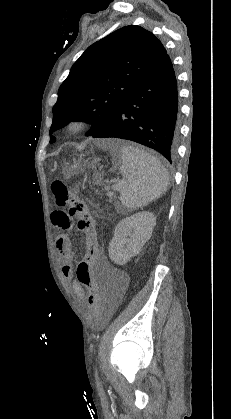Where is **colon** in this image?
Segmentation results:
<instances>
[{"label":"colon","instance_id":"colon-1","mask_svg":"<svg viewBox=\"0 0 231 419\" xmlns=\"http://www.w3.org/2000/svg\"><path fill=\"white\" fill-rule=\"evenodd\" d=\"M51 190L55 196L56 204L60 207H68V213L77 218V228L86 234L87 245L84 246V253L81 254L79 263H77L74 277L87 293L85 302L90 304L93 313L99 317L101 315L102 286L96 280L95 273H92V264L100 256V246L95 239L93 218L85 201L76 192L70 190L64 182L59 180L52 182Z\"/></svg>","mask_w":231,"mask_h":419}]
</instances>
